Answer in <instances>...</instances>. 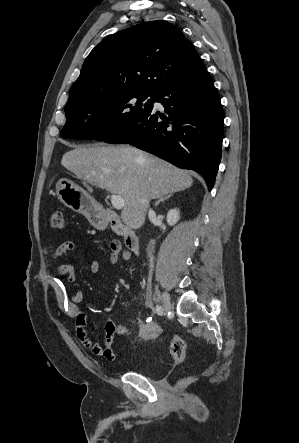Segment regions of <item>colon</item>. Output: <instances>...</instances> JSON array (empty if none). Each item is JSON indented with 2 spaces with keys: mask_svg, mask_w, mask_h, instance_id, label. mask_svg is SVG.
Listing matches in <instances>:
<instances>
[{
  "mask_svg": "<svg viewBox=\"0 0 299 443\" xmlns=\"http://www.w3.org/2000/svg\"><path fill=\"white\" fill-rule=\"evenodd\" d=\"M50 226L54 229H63L65 227V220L61 211H55L51 214ZM109 248L113 261L128 257V254L122 250L120 243L117 241L110 242ZM127 326L141 340H154L163 334V330L157 324L145 319L130 317ZM170 353L176 362H183L185 360L186 343L181 337H171Z\"/></svg>",
  "mask_w": 299,
  "mask_h": 443,
  "instance_id": "5ec220e1",
  "label": "colon"
}]
</instances>
